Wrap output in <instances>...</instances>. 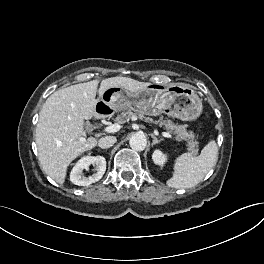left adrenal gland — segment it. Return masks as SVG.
Masks as SVG:
<instances>
[{
    "label": "left adrenal gland",
    "mask_w": 264,
    "mask_h": 264,
    "mask_svg": "<svg viewBox=\"0 0 264 264\" xmlns=\"http://www.w3.org/2000/svg\"><path fill=\"white\" fill-rule=\"evenodd\" d=\"M151 136L153 138L152 146L162 141V139L159 140L154 134H151Z\"/></svg>",
    "instance_id": "1"
}]
</instances>
